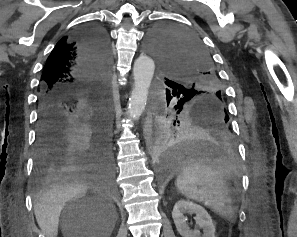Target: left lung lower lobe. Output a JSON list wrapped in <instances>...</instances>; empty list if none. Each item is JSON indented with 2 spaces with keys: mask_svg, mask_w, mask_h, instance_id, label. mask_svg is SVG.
Wrapping results in <instances>:
<instances>
[{
  "mask_svg": "<svg viewBox=\"0 0 297 237\" xmlns=\"http://www.w3.org/2000/svg\"><path fill=\"white\" fill-rule=\"evenodd\" d=\"M178 91L166 89L167 102ZM167 103V104H168ZM175 108L183 116L182 126L174 135L160 139L157 157L163 168H177L195 160H213L232 155L235 149L229 117L210 105H187L179 99ZM179 123V122H178Z\"/></svg>",
  "mask_w": 297,
  "mask_h": 237,
  "instance_id": "1",
  "label": "left lung lower lobe"
}]
</instances>
